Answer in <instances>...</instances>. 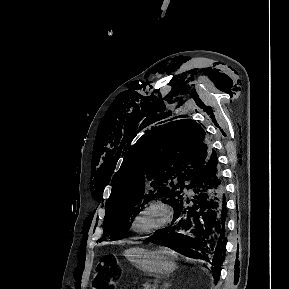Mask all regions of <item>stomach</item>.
<instances>
[{
  "mask_svg": "<svg viewBox=\"0 0 289 289\" xmlns=\"http://www.w3.org/2000/svg\"><path fill=\"white\" fill-rule=\"evenodd\" d=\"M124 255L136 268L148 274L167 275L176 268L172 252L167 248L151 251L132 247L125 250Z\"/></svg>",
  "mask_w": 289,
  "mask_h": 289,
  "instance_id": "obj_1",
  "label": "stomach"
}]
</instances>
